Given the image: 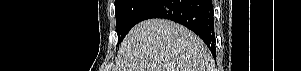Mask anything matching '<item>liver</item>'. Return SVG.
<instances>
[{"instance_id":"liver-1","label":"liver","mask_w":301,"mask_h":71,"mask_svg":"<svg viewBox=\"0 0 301 71\" xmlns=\"http://www.w3.org/2000/svg\"><path fill=\"white\" fill-rule=\"evenodd\" d=\"M204 42L187 28L164 19L140 22L118 51L115 71H213Z\"/></svg>"}]
</instances>
